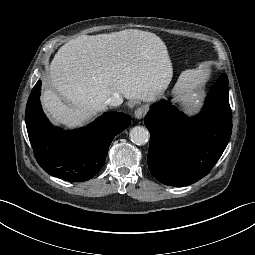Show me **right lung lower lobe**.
<instances>
[{"label":"right lung lower lobe","instance_id":"right-lung-lower-lobe-1","mask_svg":"<svg viewBox=\"0 0 255 255\" xmlns=\"http://www.w3.org/2000/svg\"><path fill=\"white\" fill-rule=\"evenodd\" d=\"M41 81L34 86L26 106L28 136L39 165L50 175L70 182L91 179L105 164L108 147L131 123L120 112H106L76 131L55 128L42 112Z\"/></svg>","mask_w":255,"mask_h":255}]
</instances>
